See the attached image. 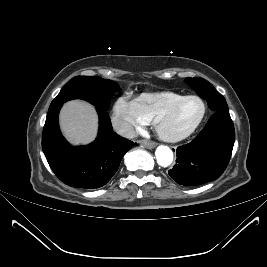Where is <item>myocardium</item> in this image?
<instances>
[{"label": "myocardium", "mask_w": 267, "mask_h": 267, "mask_svg": "<svg viewBox=\"0 0 267 267\" xmlns=\"http://www.w3.org/2000/svg\"><path fill=\"white\" fill-rule=\"evenodd\" d=\"M191 99L198 100L202 104L203 109H202V113H201L199 119L188 130H186L183 133L173 135V134H169V133L165 132L162 129V123L166 119H168L170 116H172L174 114V112H176L186 101L191 100ZM206 113H207V105H206L205 101L197 95H188V96H185L184 98H182L181 100H179L178 102H176L175 104H173L172 106H170L165 111L158 114L153 121V125H154V128H155L158 136L162 140H164L166 142H171V143L179 142V141H182V140L188 138L189 136H191L198 129V127L202 124V122L206 116Z\"/></svg>", "instance_id": "1"}]
</instances>
